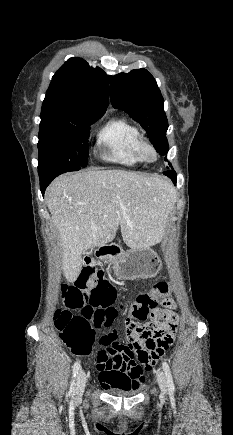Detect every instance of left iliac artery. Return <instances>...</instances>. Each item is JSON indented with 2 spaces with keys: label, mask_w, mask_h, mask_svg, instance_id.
Returning <instances> with one entry per match:
<instances>
[{
  "label": "left iliac artery",
  "mask_w": 233,
  "mask_h": 435,
  "mask_svg": "<svg viewBox=\"0 0 233 435\" xmlns=\"http://www.w3.org/2000/svg\"><path fill=\"white\" fill-rule=\"evenodd\" d=\"M162 367H163V370H164L165 375H166L168 390L170 392H173L174 389H175V386H174V383H173V378H172V375H171L170 367H169V365L167 364L166 361H164L162 363Z\"/></svg>",
  "instance_id": "1"
}]
</instances>
